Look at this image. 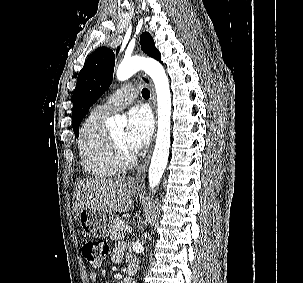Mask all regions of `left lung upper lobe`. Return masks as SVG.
Returning <instances> with one entry per match:
<instances>
[{"label": "left lung upper lobe", "mask_w": 303, "mask_h": 283, "mask_svg": "<svg viewBox=\"0 0 303 283\" xmlns=\"http://www.w3.org/2000/svg\"><path fill=\"white\" fill-rule=\"evenodd\" d=\"M140 44L144 53L161 61V55L155 48L154 40L148 32L141 34ZM114 64L113 51L100 47L87 58L79 72L72 99V127L76 137L79 135L80 123L89 108L109 88L113 78Z\"/></svg>", "instance_id": "left-lung-upper-lobe-1"}]
</instances>
